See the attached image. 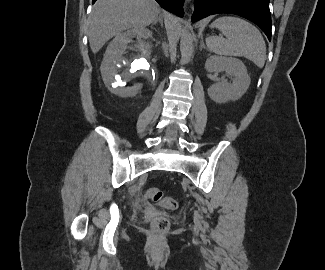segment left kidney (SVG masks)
<instances>
[{"label":"left kidney","instance_id":"1","mask_svg":"<svg viewBox=\"0 0 325 270\" xmlns=\"http://www.w3.org/2000/svg\"><path fill=\"white\" fill-rule=\"evenodd\" d=\"M205 69L208 72H230L234 79L232 83L221 80L212 85L208 89L209 97L216 103H226L228 101H236L241 98L250 85V77L248 75L244 63L236 58L223 56H210L205 63Z\"/></svg>","mask_w":325,"mask_h":270}]
</instances>
